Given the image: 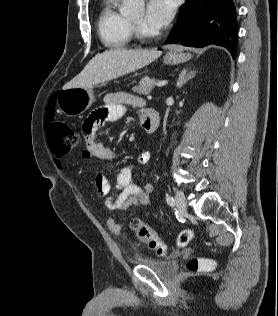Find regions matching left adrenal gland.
<instances>
[{
  "label": "left adrenal gland",
  "instance_id": "a2214340",
  "mask_svg": "<svg viewBox=\"0 0 278 316\" xmlns=\"http://www.w3.org/2000/svg\"><path fill=\"white\" fill-rule=\"evenodd\" d=\"M187 71L188 69L184 68L180 73L178 80V88L182 87L185 83H187L188 80L192 79L196 74V71H190L189 73H187Z\"/></svg>",
  "mask_w": 278,
  "mask_h": 316
}]
</instances>
